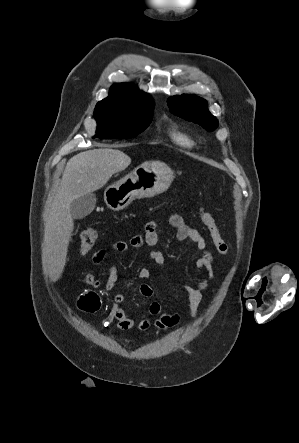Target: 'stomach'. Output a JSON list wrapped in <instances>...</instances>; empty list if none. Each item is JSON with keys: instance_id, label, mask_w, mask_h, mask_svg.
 I'll use <instances>...</instances> for the list:
<instances>
[{"instance_id": "obj_1", "label": "stomach", "mask_w": 299, "mask_h": 443, "mask_svg": "<svg viewBox=\"0 0 299 443\" xmlns=\"http://www.w3.org/2000/svg\"><path fill=\"white\" fill-rule=\"evenodd\" d=\"M174 179L173 171L164 163H144L104 192L107 206L122 210L133 200L149 198L165 192Z\"/></svg>"}]
</instances>
